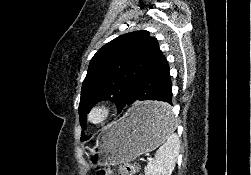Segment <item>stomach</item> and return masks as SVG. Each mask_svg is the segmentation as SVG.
I'll list each match as a JSON object with an SVG mask.
<instances>
[{"label":"stomach","instance_id":"obj_1","mask_svg":"<svg viewBox=\"0 0 251 175\" xmlns=\"http://www.w3.org/2000/svg\"><path fill=\"white\" fill-rule=\"evenodd\" d=\"M155 111H171V106H159V100H138L123 117L103 127L87 153L91 167L132 161L161 145L165 134H175V129H162L174 128L172 114Z\"/></svg>","mask_w":251,"mask_h":175}]
</instances>
